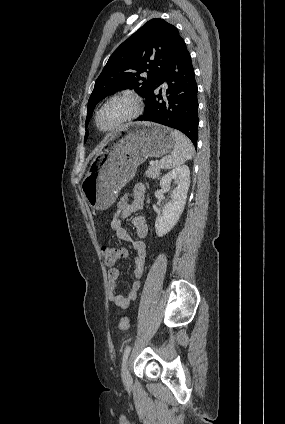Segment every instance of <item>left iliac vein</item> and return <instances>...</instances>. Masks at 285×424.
Instances as JSON below:
<instances>
[{"instance_id": "4c4485c4", "label": "left iliac vein", "mask_w": 285, "mask_h": 424, "mask_svg": "<svg viewBox=\"0 0 285 424\" xmlns=\"http://www.w3.org/2000/svg\"><path fill=\"white\" fill-rule=\"evenodd\" d=\"M124 382L127 385L131 384V375H130V370H129V361L126 362L125 368H124Z\"/></svg>"}]
</instances>
